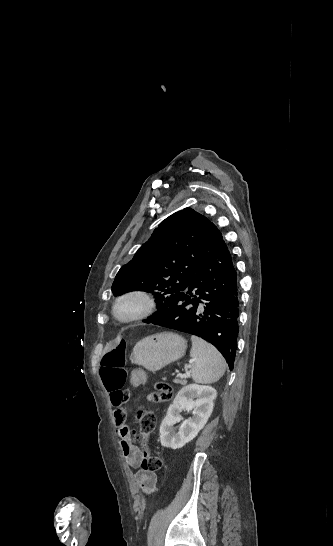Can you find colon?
I'll return each instance as SVG.
<instances>
[{
	"instance_id": "1",
	"label": "colon",
	"mask_w": 333,
	"mask_h": 546,
	"mask_svg": "<svg viewBox=\"0 0 333 546\" xmlns=\"http://www.w3.org/2000/svg\"><path fill=\"white\" fill-rule=\"evenodd\" d=\"M126 342L123 338L112 341L101 359L100 377L108 392L121 390L126 379L125 368ZM154 392L150 394L153 402L169 400L172 397L171 387L164 382H157L154 385ZM127 400L126 393L122 402ZM136 421L138 431L133 435L135 442H140L153 432L156 426V417L153 411L144 404H139L136 409ZM142 469L156 472L164 467L163 457L157 453L146 452L142 460Z\"/></svg>"
}]
</instances>
